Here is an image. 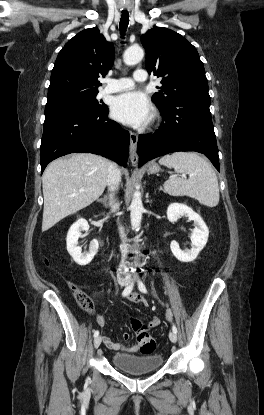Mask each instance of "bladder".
I'll use <instances>...</instances> for the list:
<instances>
[{"mask_svg":"<svg viewBox=\"0 0 264 415\" xmlns=\"http://www.w3.org/2000/svg\"><path fill=\"white\" fill-rule=\"evenodd\" d=\"M163 357L160 354H145L141 356L115 354L112 358L113 365L130 374L153 372L163 365Z\"/></svg>","mask_w":264,"mask_h":415,"instance_id":"1","label":"bladder"}]
</instances>
